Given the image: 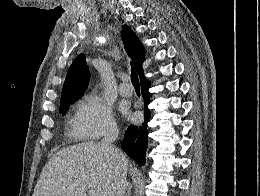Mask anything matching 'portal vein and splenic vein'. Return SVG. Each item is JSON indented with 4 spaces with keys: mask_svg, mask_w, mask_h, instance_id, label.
I'll use <instances>...</instances> for the list:
<instances>
[{
    "mask_svg": "<svg viewBox=\"0 0 260 196\" xmlns=\"http://www.w3.org/2000/svg\"><path fill=\"white\" fill-rule=\"evenodd\" d=\"M88 196H100V192H95V190H88Z\"/></svg>",
    "mask_w": 260,
    "mask_h": 196,
    "instance_id": "18ae733b",
    "label": "portal vein and splenic vein"
}]
</instances>
